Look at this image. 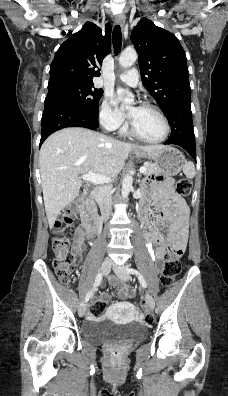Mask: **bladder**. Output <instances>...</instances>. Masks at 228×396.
<instances>
[{
  "label": "bladder",
  "instance_id": "31cf9c89",
  "mask_svg": "<svg viewBox=\"0 0 228 396\" xmlns=\"http://www.w3.org/2000/svg\"><path fill=\"white\" fill-rule=\"evenodd\" d=\"M84 340L95 344L138 342L146 338L147 329L137 323L117 324L110 320L90 319L81 327Z\"/></svg>",
  "mask_w": 228,
  "mask_h": 396
}]
</instances>
